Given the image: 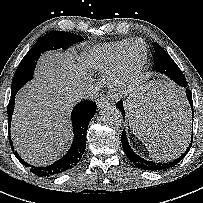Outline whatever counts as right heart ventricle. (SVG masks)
Returning <instances> with one entry per match:
<instances>
[{
  "label": "right heart ventricle",
  "mask_w": 203,
  "mask_h": 203,
  "mask_svg": "<svg viewBox=\"0 0 203 203\" xmlns=\"http://www.w3.org/2000/svg\"><path fill=\"white\" fill-rule=\"evenodd\" d=\"M130 40H122L87 49L83 64L88 71L109 74L119 62Z\"/></svg>",
  "instance_id": "e07e8e85"
}]
</instances>
